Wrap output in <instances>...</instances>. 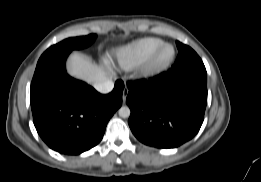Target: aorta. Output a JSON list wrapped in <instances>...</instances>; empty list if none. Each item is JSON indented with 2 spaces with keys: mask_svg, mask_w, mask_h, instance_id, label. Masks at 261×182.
Returning <instances> with one entry per match:
<instances>
[{
  "mask_svg": "<svg viewBox=\"0 0 261 182\" xmlns=\"http://www.w3.org/2000/svg\"><path fill=\"white\" fill-rule=\"evenodd\" d=\"M119 116L122 117V118H128L130 116V109L128 106H122L119 111Z\"/></svg>",
  "mask_w": 261,
  "mask_h": 182,
  "instance_id": "1",
  "label": "aorta"
}]
</instances>
